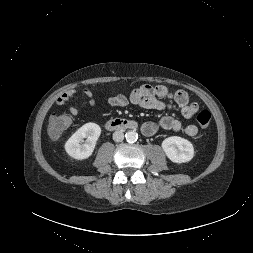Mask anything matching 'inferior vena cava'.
<instances>
[{
	"instance_id": "602c4592",
	"label": "inferior vena cava",
	"mask_w": 253,
	"mask_h": 253,
	"mask_svg": "<svg viewBox=\"0 0 253 253\" xmlns=\"http://www.w3.org/2000/svg\"><path fill=\"white\" fill-rule=\"evenodd\" d=\"M124 139V133L122 131H115L113 133V140L115 142H121Z\"/></svg>"
}]
</instances>
